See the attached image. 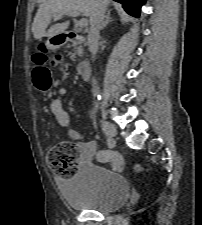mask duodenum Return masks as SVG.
Segmentation results:
<instances>
[{
    "label": "duodenum",
    "mask_w": 202,
    "mask_h": 225,
    "mask_svg": "<svg viewBox=\"0 0 202 225\" xmlns=\"http://www.w3.org/2000/svg\"><path fill=\"white\" fill-rule=\"evenodd\" d=\"M58 44L61 46L66 42H72L74 44H81L84 38L74 31H69L64 34H59L55 37ZM78 74L85 79H88L91 75L90 65L86 62H81L77 68Z\"/></svg>",
    "instance_id": "410a0bca"
}]
</instances>
